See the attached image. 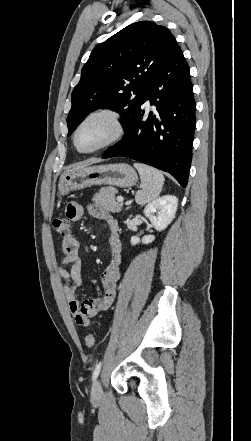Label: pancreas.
Masks as SVG:
<instances>
[{"label": "pancreas", "instance_id": "obj_1", "mask_svg": "<svg viewBox=\"0 0 251 441\" xmlns=\"http://www.w3.org/2000/svg\"><path fill=\"white\" fill-rule=\"evenodd\" d=\"M117 191L112 187H104L99 190L93 196V201L95 204L100 205L105 210L112 213H118L122 210V204L118 202L115 198Z\"/></svg>", "mask_w": 251, "mask_h": 441}]
</instances>
